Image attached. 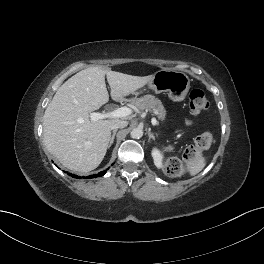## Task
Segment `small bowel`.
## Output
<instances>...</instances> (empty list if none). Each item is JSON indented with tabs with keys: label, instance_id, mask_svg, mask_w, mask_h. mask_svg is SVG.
Listing matches in <instances>:
<instances>
[{
	"label": "small bowel",
	"instance_id": "obj_1",
	"mask_svg": "<svg viewBox=\"0 0 264 264\" xmlns=\"http://www.w3.org/2000/svg\"><path fill=\"white\" fill-rule=\"evenodd\" d=\"M186 126H191L193 124V121L190 119L185 120Z\"/></svg>",
	"mask_w": 264,
	"mask_h": 264
}]
</instances>
